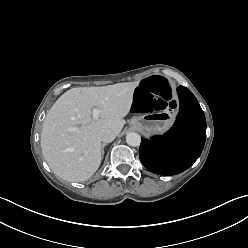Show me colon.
<instances>
[{
  "mask_svg": "<svg viewBox=\"0 0 248 248\" xmlns=\"http://www.w3.org/2000/svg\"><path fill=\"white\" fill-rule=\"evenodd\" d=\"M177 107L178 102L173 98L169 81L160 76L143 80L135 91V100L131 103L132 110L138 113L174 111Z\"/></svg>",
  "mask_w": 248,
  "mask_h": 248,
  "instance_id": "colon-1",
  "label": "colon"
}]
</instances>
